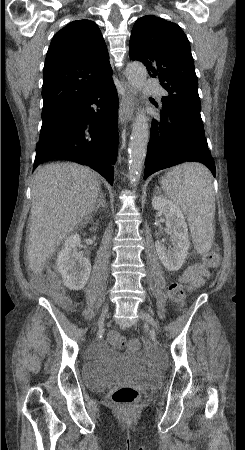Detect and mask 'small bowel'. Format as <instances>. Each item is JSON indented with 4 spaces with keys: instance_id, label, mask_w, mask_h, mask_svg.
Returning a JSON list of instances; mask_svg holds the SVG:
<instances>
[{
    "instance_id": "c3829d8e",
    "label": "small bowel",
    "mask_w": 245,
    "mask_h": 450,
    "mask_svg": "<svg viewBox=\"0 0 245 450\" xmlns=\"http://www.w3.org/2000/svg\"><path fill=\"white\" fill-rule=\"evenodd\" d=\"M210 272L201 267H189L181 277L182 282L190 286H200L209 277Z\"/></svg>"
}]
</instances>
